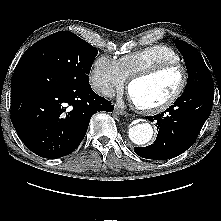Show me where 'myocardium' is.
Listing matches in <instances>:
<instances>
[{
	"label": "myocardium",
	"instance_id": "f54148a6",
	"mask_svg": "<svg viewBox=\"0 0 221 221\" xmlns=\"http://www.w3.org/2000/svg\"><path fill=\"white\" fill-rule=\"evenodd\" d=\"M178 69L181 71V83L178 89L164 102L154 105V106H142L135 103L136 108L144 113L158 114L170 109L176 102L181 98L188 84V71L184 65L176 62H165L158 65L149 67L142 71L133 74L128 81V90H130L131 85L141 79H146L153 77L161 72Z\"/></svg>",
	"mask_w": 221,
	"mask_h": 221
}]
</instances>
